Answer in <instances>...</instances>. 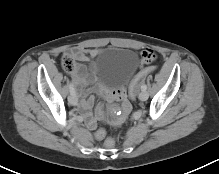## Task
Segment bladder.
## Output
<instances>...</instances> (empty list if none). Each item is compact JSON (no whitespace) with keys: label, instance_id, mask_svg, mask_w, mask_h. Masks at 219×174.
Segmentation results:
<instances>
[{"label":"bladder","instance_id":"1","mask_svg":"<svg viewBox=\"0 0 219 174\" xmlns=\"http://www.w3.org/2000/svg\"><path fill=\"white\" fill-rule=\"evenodd\" d=\"M92 64L97 82L106 89L122 86L137 69L139 57L131 49L112 48L101 52Z\"/></svg>","mask_w":219,"mask_h":174}]
</instances>
